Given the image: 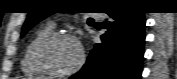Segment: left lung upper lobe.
<instances>
[{
  "mask_svg": "<svg viewBox=\"0 0 177 79\" xmlns=\"http://www.w3.org/2000/svg\"><path fill=\"white\" fill-rule=\"evenodd\" d=\"M47 2L50 1H39L36 8L28 14L27 20L22 28L21 37H23L39 21L52 14L48 9L44 7L45 4H48Z\"/></svg>",
  "mask_w": 177,
  "mask_h": 79,
  "instance_id": "1",
  "label": "left lung upper lobe"
}]
</instances>
